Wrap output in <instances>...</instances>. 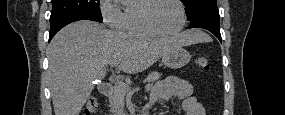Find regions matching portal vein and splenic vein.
Returning a JSON list of instances; mask_svg holds the SVG:
<instances>
[{"mask_svg":"<svg viewBox=\"0 0 285 115\" xmlns=\"http://www.w3.org/2000/svg\"><path fill=\"white\" fill-rule=\"evenodd\" d=\"M118 65H120V63L119 62H117V63H115L112 67H117ZM120 82V81H119ZM151 86L148 84V85H146V90H148L149 88H150Z\"/></svg>","mask_w":285,"mask_h":115,"instance_id":"portal-vein-and-splenic-vein-1","label":"portal vein and splenic vein"}]
</instances>
